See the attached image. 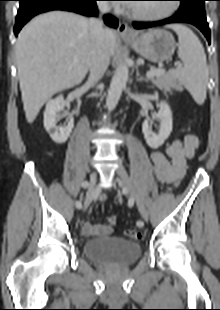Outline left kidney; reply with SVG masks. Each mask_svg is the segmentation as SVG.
Instances as JSON below:
<instances>
[{
	"instance_id": "obj_1",
	"label": "left kidney",
	"mask_w": 220,
	"mask_h": 310,
	"mask_svg": "<svg viewBox=\"0 0 220 310\" xmlns=\"http://www.w3.org/2000/svg\"><path fill=\"white\" fill-rule=\"evenodd\" d=\"M152 119H157L160 121L158 134L152 132L150 120H145L143 122L142 132L147 144L151 148L157 149L165 142L172 132V112L169 105L165 101L160 103V109L158 113L152 116Z\"/></svg>"
}]
</instances>
